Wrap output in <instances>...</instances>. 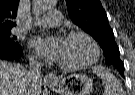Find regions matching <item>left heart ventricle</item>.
I'll return each instance as SVG.
<instances>
[{
	"label": "left heart ventricle",
	"instance_id": "left-heart-ventricle-1",
	"mask_svg": "<svg viewBox=\"0 0 135 95\" xmlns=\"http://www.w3.org/2000/svg\"><path fill=\"white\" fill-rule=\"evenodd\" d=\"M48 29L55 27L47 25ZM92 56V48L89 42L83 37L65 38L64 48L60 62L65 64H79L89 60Z\"/></svg>",
	"mask_w": 135,
	"mask_h": 95
}]
</instances>
